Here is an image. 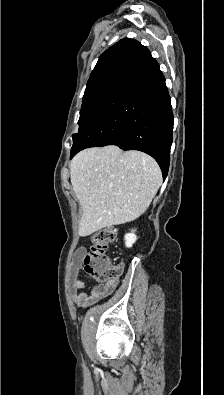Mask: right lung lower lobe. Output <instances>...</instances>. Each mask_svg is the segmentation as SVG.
Masks as SVG:
<instances>
[{"label":"right lung lower lobe","mask_w":224,"mask_h":395,"mask_svg":"<svg viewBox=\"0 0 224 395\" xmlns=\"http://www.w3.org/2000/svg\"><path fill=\"white\" fill-rule=\"evenodd\" d=\"M173 113L165 78L149 50L141 46L121 68L112 88L89 118L71 149L117 145L139 150L168 173Z\"/></svg>","instance_id":"1"}]
</instances>
